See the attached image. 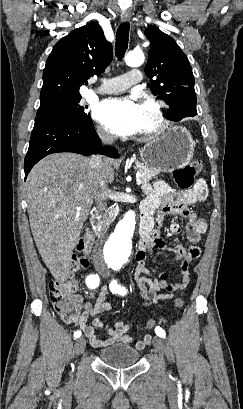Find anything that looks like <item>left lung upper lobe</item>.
<instances>
[{
    "instance_id": "left-lung-upper-lobe-1",
    "label": "left lung upper lobe",
    "mask_w": 243,
    "mask_h": 409,
    "mask_svg": "<svg viewBox=\"0 0 243 409\" xmlns=\"http://www.w3.org/2000/svg\"><path fill=\"white\" fill-rule=\"evenodd\" d=\"M145 35L150 41L145 73L151 79L152 93L169 105L167 117L197 113L195 80L187 56L172 37L157 27L147 28Z\"/></svg>"
}]
</instances>
